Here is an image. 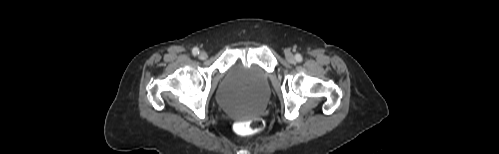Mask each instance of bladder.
Instances as JSON below:
<instances>
[{"label": "bladder", "instance_id": "31cf9c89", "mask_svg": "<svg viewBox=\"0 0 499 154\" xmlns=\"http://www.w3.org/2000/svg\"><path fill=\"white\" fill-rule=\"evenodd\" d=\"M269 96V75L259 65L232 66L216 92L219 105L227 112L249 116L264 109Z\"/></svg>", "mask_w": 499, "mask_h": 154}]
</instances>
